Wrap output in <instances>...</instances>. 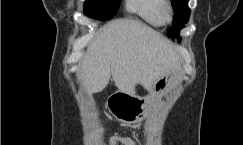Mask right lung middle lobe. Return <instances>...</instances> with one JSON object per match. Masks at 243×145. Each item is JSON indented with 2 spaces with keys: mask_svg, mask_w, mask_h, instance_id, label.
Returning <instances> with one entry per match:
<instances>
[{
  "mask_svg": "<svg viewBox=\"0 0 243 145\" xmlns=\"http://www.w3.org/2000/svg\"><path fill=\"white\" fill-rule=\"evenodd\" d=\"M121 0H86L84 14L98 20L112 18L120 5Z\"/></svg>",
  "mask_w": 243,
  "mask_h": 145,
  "instance_id": "dd1d6c3e",
  "label": "right lung middle lobe"
}]
</instances>
